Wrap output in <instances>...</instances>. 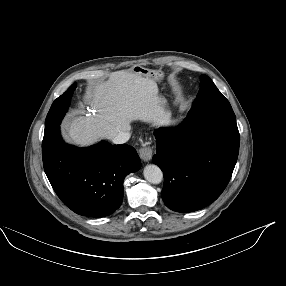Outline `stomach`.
<instances>
[{"instance_id": "obj_1", "label": "stomach", "mask_w": 286, "mask_h": 286, "mask_svg": "<svg viewBox=\"0 0 286 286\" xmlns=\"http://www.w3.org/2000/svg\"><path fill=\"white\" fill-rule=\"evenodd\" d=\"M132 71L144 77H151L154 80H160L163 78V73L161 71L146 69L139 65H136Z\"/></svg>"}]
</instances>
